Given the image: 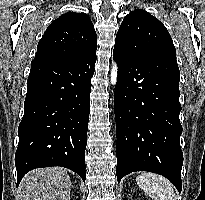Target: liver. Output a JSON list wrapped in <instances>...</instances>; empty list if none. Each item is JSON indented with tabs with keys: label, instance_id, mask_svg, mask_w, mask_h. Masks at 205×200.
I'll return each mask as SVG.
<instances>
[{
	"label": "liver",
	"instance_id": "1",
	"mask_svg": "<svg viewBox=\"0 0 205 200\" xmlns=\"http://www.w3.org/2000/svg\"><path fill=\"white\" fill-rule=\"evenodd\" d=\"M71 179L62 167L28 172L19 187L21 200H70Z\"/></svg>",
	"mask_w": 205,
	"mask_h": 200
}]
</instances>
